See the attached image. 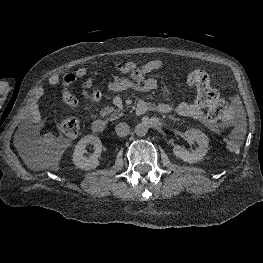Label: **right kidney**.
<instances>
[{
  "label": "right kidney",
  "mask_w": 263,
  "mask_h": 263,
  "mask_svg": "<svg viewBox=\"0 0 263 263\" xmlns=\"http://www.w3.org/2000/svg\"><path fill=\"white\" fill-rule=\"evenodd\" d=\"M91 144L94 146V153L90 157H85L84 153H86L85 147ZM102 151V143L101 140L94 135H87L80 139L75 146L73 153V163L76 167L82 170H92L95 169L99 165V156Z\"/></svg>",
  "instance_id": "obj_1"
}]
</instances>
